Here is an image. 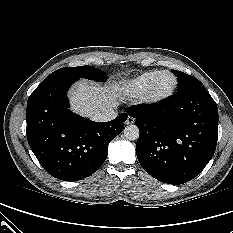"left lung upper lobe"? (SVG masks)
Here are the masks:
<instances>
[{
  "label": "left lung upper lobe",
  "mask_w": 233,
  "mask_h": 233,
  "mask_svg": "<svg viewBox=\"0 0 233 233\" xmlns=\"http://www.w3.org/2000/svg\"><path fill=\"white\" fill-rule=\"evenodd\" d=\"M178 78L177 93H184L196 87H204L203 84L195 77L187 75L183 72L172 70Z\"/></svg>",
  "instance_id": "1"
}]
</instances>
